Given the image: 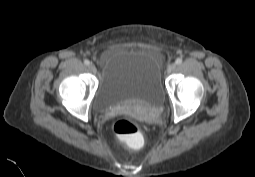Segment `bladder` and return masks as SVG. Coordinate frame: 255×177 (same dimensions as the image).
<instances>
[{
    "mask_svg": "<svg viewBox=\"0 0 255 177\" xmlns=\"http://www.w3.org/2000/svg\"><path fill=\"white\" fill-rule=\"evenodd\" d=\"M165 99L160 67L153 51L125 50L102 70L94 107L105 113L125 104L156 107Z\"/></svg>",
    "mask_w": 255,
    "mask_h": 177,
    "instance_id": "1",
    "label": "bladder"
}]
</instances>
